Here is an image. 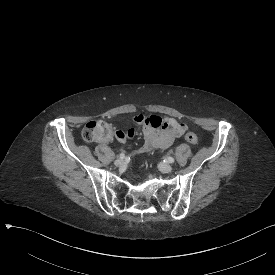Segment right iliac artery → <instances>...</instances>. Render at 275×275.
Listing matches in <instances>:
<instances>
[{
    "mask_svg": "<svg viewBox=\"0 0 275 275\" xmlns=\"http://www.w3.org/2000/svg\"><path fill=\"white\" fill-rule=\"evenodd\" d=\"M120 158L122 159V158H125V154L124 153H121L120 154Z\"/></svg>",
    "mask_w": 275,
    "mask_h": 275,
    "instance_id": "obj_1",
    "label": "right iliac artery"
}]
</instances>
